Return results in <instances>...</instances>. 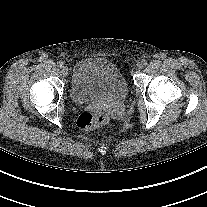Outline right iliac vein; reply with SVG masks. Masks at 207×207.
Returning <instances> with one entry per match:
<instances>
[{
  "label": "right iliac vein",
  "instance_id": "right-iliac-vein-1",
  "mask_svg": "<svg viewBox=\"0 0 207 207\" xmlns=\"http://www.w3.org/2000/svg\"><path fill=\"white\" fill-rule=\"evenodd\" d=\"M61 72L64 76H66L68 74V67L67 66H63L61 69Z\"/></svg>",
  "mask_w": 207,
  "mask_h": 207
}]
</instances>
